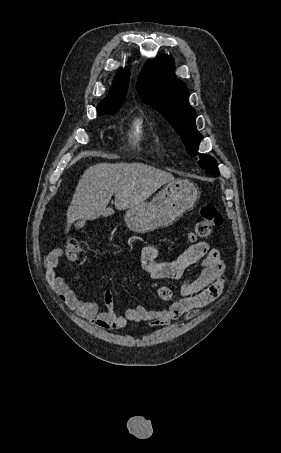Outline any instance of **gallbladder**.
I'll use <instances>...</instances> for the list:
<instances>
[{"mask_svg": "<svg viewBox=\"0 0 281 453\" xmlns=\"http://www.w3.org/2000/svg\"><path fill=\"white\" fill-rule=\"evenodd\" d=\"M84 225H85V224H84L83 222L81 223V221H79V220H76V221H74V223H73V226H74V228H76V229H79V228H81V226L83 227Z\"/></svg>", "mask_w": 281, "mask_h": 453, "instance_id": "1", "label": "gallbladder"}]
</instances>
